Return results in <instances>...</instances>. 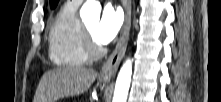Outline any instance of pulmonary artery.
<instances>
[{"label":"pulmonary artery","mask_w":221,"mask_h":102,"mask_svg":"<svg viewBox=\"0 0 221 102\" xmlns=\"http://www.w3.org/2000/svg\"><path fill=\"white\" fill-rule=\"evenodd\" d=\"M73 1L81 3L83 0H73Z\"/></svg>","instance_id":"e3ab8cb5"}]
</instances>
